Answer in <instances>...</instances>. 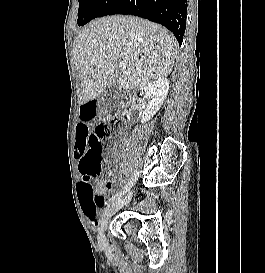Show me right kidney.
Listing matches in <instances>:
<instances>
[{"label": "right kidney", "instance_id": "ca27d5eb", "mask_svg": "<svg viewBox=\"0 0 265 273\" xmlns=\"http://www.w3.org/2000/svg\"><path fill=\"white\" fill-rule=\"evenodd\" d=\"M169 90V81L165 77L158 78L144 87V97L148 104L143 112L141 123L148 122L160 109Z\"/></svg>", "mask_w": 265, "mask_h": 273}]
</instances>
